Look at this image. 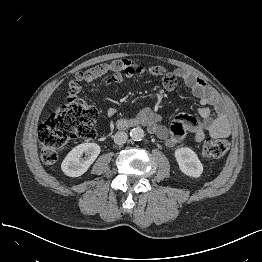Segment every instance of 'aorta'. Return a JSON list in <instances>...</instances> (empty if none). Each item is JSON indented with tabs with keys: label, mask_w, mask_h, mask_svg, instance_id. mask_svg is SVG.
Instances as JSON below:
<instances>
[{
	"label": "aorta",
	"mask_w": 262,
	"mask_h": 262,
	"mask_svg": "<svg viewBox=\"0 0 262 262\" xmlns=\"http://www.w3.org/2000/svg\"><path fill=\"white\" fill-rule=\"evenodd\" d=\"M144 136H145L144 131L140 127L133 128L130 131V137L134 141H141L144 138Z\"/></svg>",
	"instance_id": "762f6f07"
}]
</instances>
